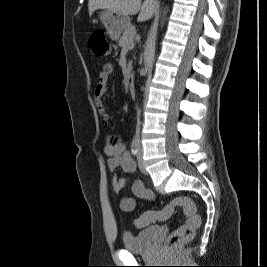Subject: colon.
<instances>
[{"instance_id":"obj_1","label":"colon","mask_w":267,"mask_h":267,"mask_svg":"<svg viewBox=\"0 0 267 267\" xmlns=\"http://www.w3.org/2000/svg\"><path fill=\"white\" fill-rule=\"evenodd\" d=\"M89 47L94 55L105 57L110 54V44L101 31H96L89 38ZM177 208H181L186 216L185 222L170 233L165 239V245L171 249L190 241L195 231L201 224V218L198 214L194 201L188 196L175 197L163 209L158 211H146L138 216L134 224L138 228L148 226L157 221L169 219Z\"/></svg>"}]
</instances>
